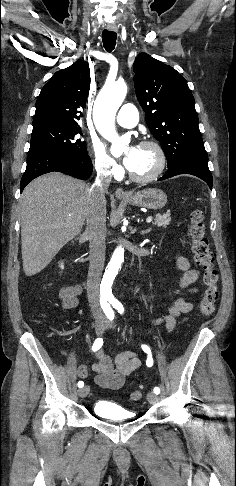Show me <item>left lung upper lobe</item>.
<instances>
[{
  "label": "left lung upper lobe",
  "instance_id": "1",
  "mask_svg": "<svg viewBox=\"0 0 236 486\" xmlns=\"http://www.w3.org/2000/svg\"><path fill=\"white\" fill-rule=\"evenodd\" d=\"M134 86L146 123L160 141L168 168L181 163L208 165L194 97L174 68L140 53L134 62Z\"/></svg>",
  "mask_w": 236,
  "mask_h": 486
}]
</instances>
